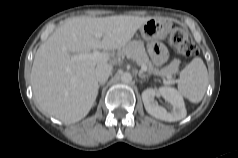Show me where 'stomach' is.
<instances>
[{"label":"stomach","mask_w":238,"mask_h":158,"mask_svg":"<svg viewBox=\"0 0 238 158\" xmlns=\"http://www.w3.org/2000/svg\"><path fill=\"white\" fill-rule=\"evenodd\" d=\"M169 30L168 23L156 18L149 19L139 28L142 38L146 41L162 40L168 35Z\"/></svg>","instance_id":"obj_1"}]
</instances>
